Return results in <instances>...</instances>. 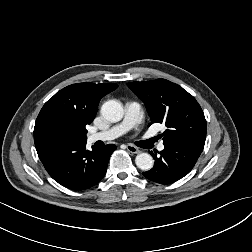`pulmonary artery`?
Segmentation results:
<instances>
[{
	"label": "pulmonary artery",
	"mask_w": 252,
	"mask_h": 252,
	"mask_svg": "<svg viewBox=\"0 0 252 252\" xmlns=\"http://www.w3.org/2000/svg\"><path fill=\"white\" fill-rule=\"evenodd\" d=\"M140 117L141 106L137 102H127L124 106L123 120L105 131L89 134L88 141L93 143L96 141H109L120 137L130 129L134 128L138 124ZM163 149L164 144L160 143L158 145V150L162 151Z\"/></svg>",
	"instance_id": "obj_1"
}]
</instances>
